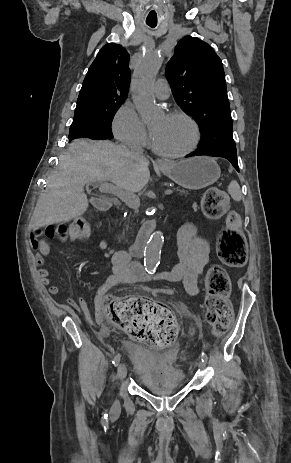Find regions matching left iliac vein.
I'll use <instances>...</instances> for the list:
<instances>
[{
  "instance_id": "obj_1",
  "label": "left iliac vein",
  "mask_w": 291,
  "mask_h": 463,
  "mask_svg": "<svg viewBox=\"0 0 291 463\" xmlns=\"http://www.w3.org/2000/svg\"><path fill=\"white\" fill-rule=\"evenodd\" d=\"M198 366H199V368H201V369H204V368H205V366H206V363H205V362H203L202 360H199V362H198Z\"/></svg>"
}]
</instances>
